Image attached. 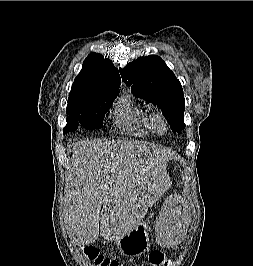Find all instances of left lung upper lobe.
<instances>
[{"mask_svg": "<svg viewBox=\"0 0 253 266\" xmlns=\"http://www.w3.org/2000/svg\"><path fill=\"white\" fill-rule=\"evenodd\" d=\"M121 76L126 85L131 86L135 97L162 110L174 132L185 128L182 86L159 56L139 57L127 63L121 71Z\"/></svg>", "mask_w": 253, "mask_h": 266, "instance_id": "1", "label": "left lung upper lobe"}]
</instances>
